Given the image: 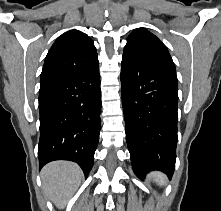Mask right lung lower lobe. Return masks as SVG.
Masks as SVG:
<instances>
[{
  "mask_svg": "<svg viewBox=\"0 0 221 211\" xmlns=\"http://www.w3.org/2000/svg\"><path fill=\"white\" fill-rule=\"evenodd\" d=\"M39 168L54 160L78 163L87 177L100 134L99 65L56 81L39 90Z\"/></svg>",
  "mask_w": 221,
  "mask_h": 211,
  "instance_id": "1",
  "label": "right lung lower lobe"
}]
</instances>
